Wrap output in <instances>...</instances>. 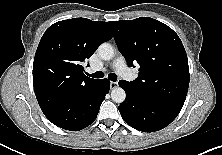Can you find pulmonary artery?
I'll return each mask as SVG.
<instances>
[{"label":"pulmonary artery","mask_w":222,"mask_h":155,"mask_svg":"<svg viewBox=\"0 0 222 155\" xmlns=\"http://www.w3.org/2000/svg\"><path fill=\"white\" fill-rule=\"evenodd\" d=\"M112 67L116 70V72L124 79L131 80L133 75L129 68L127 67L125 60L123 57H117L112 63Z\"/></svg>","instance_id":"1"}]
</instances>
